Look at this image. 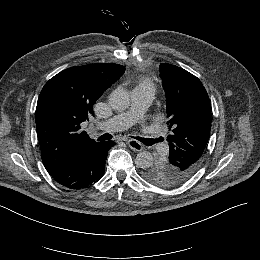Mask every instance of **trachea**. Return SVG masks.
<instances>
[{
  "mask_svg": "<svg viewBox=\"0 0 260 260\" xmlns=\"http://www.w3.org/2000/svg\"><path fill=\"white\" fill-rule=\"evenodd\" d=\"M112 135L109 133H105L102 136L99 137L100 141H106V140H110L112 139ZM131 138L137 139L138 141H140L141 143H143L146 146H151L155 143L158 142H162L164 140L163 137H159V138H142V137H135V136H130Z\"/></svg>",
  "mask_w": 260,
  "mask_h": 260,
  "instance_id": "obj_1",
  "label": "trachea"
}]
</instances>
